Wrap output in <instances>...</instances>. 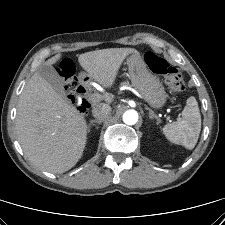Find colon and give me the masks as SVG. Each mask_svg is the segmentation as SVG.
<instances>
[{
  "label": "colon",
  "mask_w": 225,
  "mask_h": 225,
  "mask_svg": "<svg viewBox=\"0 0 225 225\" xmlns=\"http://www.w3.org/2000/svg\"><path fill=\"white\" fill-rule=\"evenodd\" d=\"M145 61L151 71L162 75L168 88L173 92H181L185 89V81L178 69L170 65L164 58L153 52L145 54ZM61 75L64 78L65 91L71 101L78 105L81 113L89 111L90 103L82 97L81 86L74 75V64L70 60H63L60 63Z\"/></svg>",
  "instance_id": "colon-1"
}]
</instances>
